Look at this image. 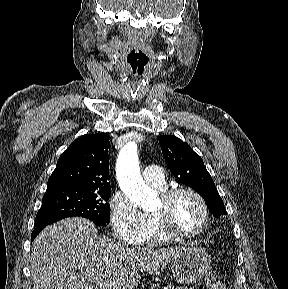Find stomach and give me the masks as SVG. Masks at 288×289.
Listing matches in <instances>:
<instances>
[{
  "instance_id": "stomach-1",
  "label": "stomach",
  "mask_w": 288,
  "mask_h": 289,
  "mask_svg": "<svg viewBox=\"0 0 288 289\" xmlns=\"http://www.w3.org/2000/svg\"><path fill=\"white\" fill-rule=\"evenodd\" d=\"M211 257L204 248H183L172 260L174 278L183 284L200 281L210 269Z\"/></svg>"
}]
</instances>
